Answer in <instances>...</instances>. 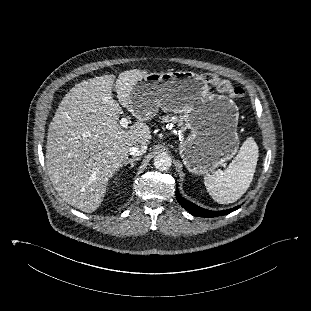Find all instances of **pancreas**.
Instances as JSON below:
<instances>
[{
	"label": "pancreas",
	"instance_id": "1",
	"mask_svg": "<svg viewBox=\"0 0 311 311\" xmlns=\"http://www.w3.org/2000/svg\"><path fill=\"white\" fill-rule=\"evenodd\" d=\"M162 120L163 121H170V122H173V123H177L178 126H180V132L181 134L186 130V127L183 125V119L182 118H178L176 116H163L162 117Z\"/></svg>",
	"mask_w": 311,
	"mask_h": 311
}]
</instances>
